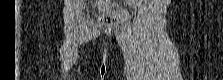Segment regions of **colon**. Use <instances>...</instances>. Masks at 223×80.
<instances>
[{
	"mask_svg": "<svg viewBox=\"0 0 223 80\" xmlns=\"http://www.w3.org/2000/svg\"><path fill=\"white\" fill-rule=\"evenodd\" d=\"M117 21V17L114 14H103L100 17V22L101 24L105 25V26H110L115 24Z\"/></svg>",
	"mask_w": 223,
	"mask_h": 80,
	"instance_id": "obj_1",
	"label": "colon"
}]
</instances>
